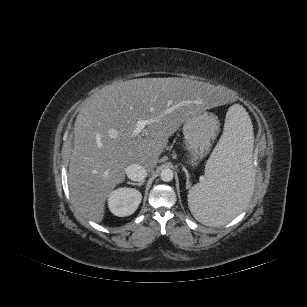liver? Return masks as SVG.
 <instances>
[{
  "mask_svg": "<svg viewBox=\"0 0 307 307\" xmlns=\"http://www.w3.org/2000/svg\"><path fill=\"white\" fill-rule=\"evenodd\" d=\"M230 97L228 90L177 77L132 79L95 92L74 124L68 184L78 211L101 222L106 199L125 180L127 166L154 169L169 137L191 114L223 107ZM139 119L152 122L133 136Z\"/></svg>",
  "mask_w": 307,
  "mask_h": 307,
  "instance_id": "obj_1",
  "label": "liver"
}]
</instances>
